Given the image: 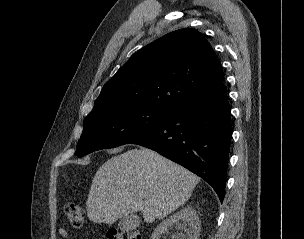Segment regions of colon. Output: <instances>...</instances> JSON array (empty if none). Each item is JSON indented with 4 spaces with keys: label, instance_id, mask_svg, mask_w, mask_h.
Returning a JSON list of instances; mask_svg holds the SVG:
<instances>
[{
    "label": "colon",
    "instance_id": "obj_1",
    "mask_svg": "<svg viewBox=\"0 0 304 239\" xmlns=\"http://www.w3.org/2000/svg\"><path fill=\"white\" fill-rule=\"evenodd\" d=\"M65 214L69 223L79 228L82 226L85 218V209L79 203H67L65 205ZM106 239H142V235L138 231H119L110 229L107 231Z\"/></svg>",
    "mask_w": 304,
    "mask_h": 239
}]
</instances>
